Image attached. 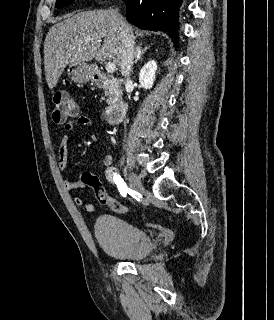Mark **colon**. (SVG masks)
I'll list each match as a JSON object with an SVG mask.
<instances>
[{"label": "colon", "mask_w": 274, "mask_h": 320, "mask_svg": "<svg viewBox=\"0 0 274 320\" xmlns=\"http://www.w3.org/2000/svg\"><path fill=\"white\" fill-rule=\"evenodd\" d=\"M52 119L56 123H64L71 126V121L77 118V103L69 97L66 90H58L52 95ZM80 181L83 186H89L95 193H99V201L117 214L127 213L128 208L124 204L110 198L105 192L103 182H97V175H91L90 169L80 170Z\"/></svg>", "instance_id": "1"}]
</instances>
